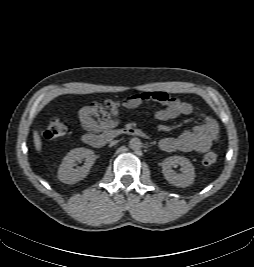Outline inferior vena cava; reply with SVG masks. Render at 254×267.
<instances>
[{"instance_id":"1","label":"inferior vena cava","mask_w":254,"mask_h":267,"mask_svg":"<svg viewBox=\"0 0 254 267\" xmlns=\"http://www.w3.org/2000/svg\"><path fill=\"white\" fill-rule=\"evenodd\" d=\"M117 142H118V141H111L110 144H109V146L112 147V146L116 145Z\"/></svg>"}]
</instances>
